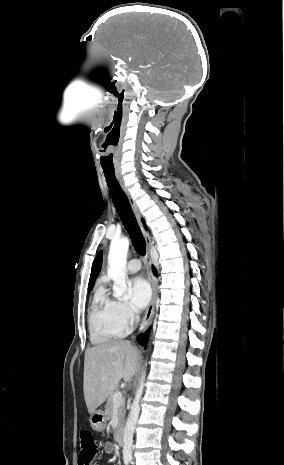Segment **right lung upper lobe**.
<instances>
[{
	"instance_id": "1",
	"label": "right lung upper lobe",
	"mask_w": 284,
	"mask_h": 465,
	"mask_svg": "<svg viewBox=\"0 0 284 465\" xmlns=\"http://www.w3.org/2000/svg\"><path fill=\"white\" fill-rule=\"evenodd\" d=\"M101 264H102V252H99L92 265V270H91V275H90V280H89V285H88L89 291L92 289L94 282L100 272Z\"/></svg>"
}]
</instances>
